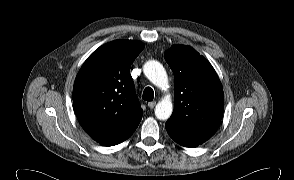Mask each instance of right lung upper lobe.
Masks as SVG:
<instances>
[{
  "label": "right lung upper lobe",
  "mask_w": 294,
  "mask_h": 180,
  "mask_svg": "<svg viewBox=\"0 0 294 180\" xmlns=\"http://www.w3.org/2000/svg\"><path fill=\"white\" fill-rule=\"evenodd\" d=\"M144 44L115 40L96 49L73 87V106L82 128L98 143L120 136L142 118L130 67Z\"/></svg>",
  "instance_id": "1"
}]
</instances>
